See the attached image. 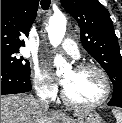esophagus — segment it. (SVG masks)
Instances as JSON below:
<instances>
[{"mask_svg":"<svg viewBox=\"0 0 122 123\" xmlns=\"http://www.w3.org/2000/svg\"><path fill=\"white\" fill-rule=\"evenodd\" d=\"M54 114L55 115H63V112H61L60 110H55L54 111Z\"/></svg>","mask_w":122,"mask_h":123,"instance_id":"1","label":"esophagus"}]
</instances>
